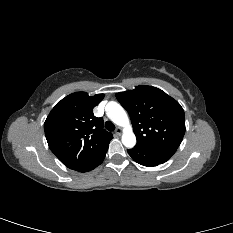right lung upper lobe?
I'll list each match as a JSON object with an SVG mask.
<instances>
[{"instance_id":"obj_1","label":"right lung upper lobe","mask_w":233,"mask_h":233,"mask_svg":"<svg viewBox=\"0 0 233 233\" xmlns=\"http://www.w3.org/2000/svg\"><path fill=\"white\" fill-rule=\"evenodd\" d=\"M103 98L72 93L54 106L44 123L51 151L70 169L83 172L108 149L113 136L103 129V119L93 114Z\"/></svg>"}]
</instances>
